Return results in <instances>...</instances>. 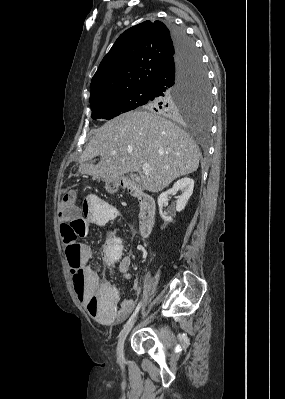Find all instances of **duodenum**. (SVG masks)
<instances>
[{
    "label": "duodenum",
    "mask_w": 285,
    "mask_h": 399,
    "mask_svg": "<svg viewBox=\"0 0 285 399\" xmlns=\"http://www.w3.org/2000/svg\"><path fill=\"white\" fill-rule=\"evenodd\" d=\"M129 193L137 197L140 204V235L147 237L155 225V202L152 197L144 194L138 187L129 186Z\"/></svg>",
    "instance_id": "1"
}]
</instances>
